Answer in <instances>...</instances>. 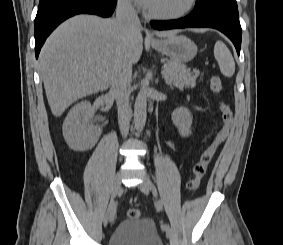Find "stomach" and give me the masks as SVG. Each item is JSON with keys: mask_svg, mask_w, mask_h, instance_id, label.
Instances as JSON below:
<instances>
[{"mask_svg": "<svg viewBox=\"0 0 283 245\" xmlns=\"http://www.w3.org/2000/svg\"><path fill=\"white\" fill-rule=\"evenodd\" d=\"M151 46L178 63L191 61L197 54L195 43L183 35H173L166 39L153 41Z\"/></svg>", "mask_w": 283, "mask_h": 245, "instance_id": "obj_1", "label": "stomach"}]
</instances>
